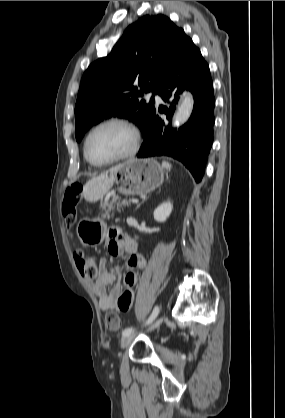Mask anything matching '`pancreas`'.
I'll return each instance as SVG.
<instances>
[{
	"mask_svg": "<svg viewBox=\"0 0 285 418\" xmlns=\"http://www.w3.org/2000/svg\"><path fill=\"white\" fill-rule=\"evenodd\" d=\"M115 207L117 208V210H120V208L122 207V204H117V205L110 204V205H108V210H107L106 209L107 208V204L103 203L101 205V208H102V210L105 211V213L102 214V217H104V218L108 217L109 216V212L113 211L115 209Z\"/></svg>",
	"mask_w": 285,
	"mask_h": 418,
	"instance_id": "obj_1",
	"label": "pancreas"
}]
</instances>
